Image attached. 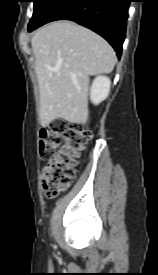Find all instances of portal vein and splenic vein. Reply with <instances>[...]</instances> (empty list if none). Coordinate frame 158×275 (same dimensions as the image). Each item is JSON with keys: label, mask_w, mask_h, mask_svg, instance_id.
I'll return each instance as SVG.
<instances>
[{"label": "portal vein and splenic vein", "mask_w": 158, "mask_h": 275, "mask_svg": "<svg viewBox=\"0 0 158 275\" xmlns=\"http://www.w3.org/2000/svg\"><path fill=\"white\" fill-rule=\"evenodd\" d=\"M53 71H58L59 68L55 67V68H52Z\"/></svg>", "instance_id": "obj_1"}]
</instances>
